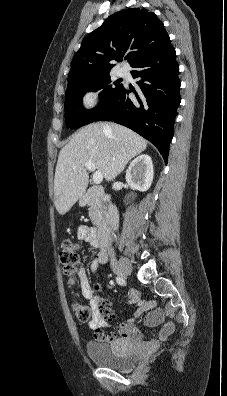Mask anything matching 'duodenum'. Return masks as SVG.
Wrapping results in <instances>:
<instances>
[{"label":"duodenum","mask_w":227,"mask_h":396,"mask_svg":"<svg viewBox=\"0 0 227 396\" xmlns=\"http://www.w3.org/2000/svg\"><path fill=\"white\" fill-rule=\"evenodd\" d=\"M100 202L105 206L103 220L94 233V241L100 248H105L109 242L111 234L117 229L119 214L117 207L112 203L110 196L98 186L91 187L81 197L80 203L83 205Z\"/></svg>","instance_id":"obj_1"}]
</instances>
